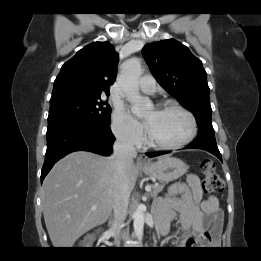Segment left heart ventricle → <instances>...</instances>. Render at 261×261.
Here are the masks:
<instances>
[{"label": "left heart ventricle", "mask_w": 261, "mask_h": 261, "mask_svg": "<svg viewBox=\"0 0 261 261\" xmlns=\"http://www.w3.org/2000/svg\"><path fill=\"white\" fill-rule=\"evenodd\" d=\"M146 119H152L148 132L153 140L160 143L180 141L189 131L187 117L177 110H152L147 112Z\"/></svg>", "instance_id": "left-heart-ventricle-1"}]
</instances>
